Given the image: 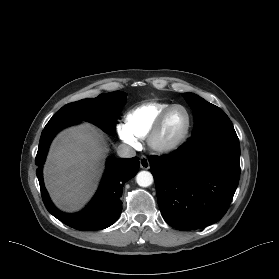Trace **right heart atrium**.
<instances>
[{
	"mask_svg": "<svg viewBox=\"0 0 279 279\" xmlns=\"http://www.w3.org/2000/svg\"><path fill=\"white\" fill-rule=\"evenodd\" d=\"M116 130L123 142L131 146H134L136 144V138L126 129L124 125H118Z\"/></svg>",
	"mask_w": 279,
	"mask_h": 279,
	"instance_id": "1",
	"label": "right heart atrium"
}]
</instances>
